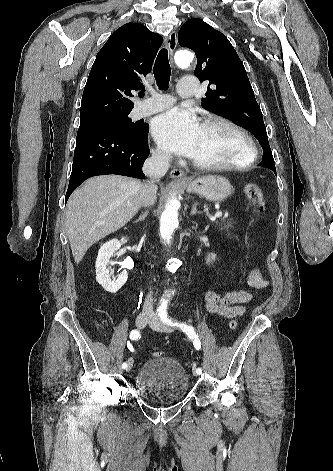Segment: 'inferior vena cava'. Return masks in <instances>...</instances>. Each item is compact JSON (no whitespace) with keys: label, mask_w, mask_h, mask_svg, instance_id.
I'll list each match as a JSON object with an SVG mask.
<instances>
[{"label":"inferior vena cava","mask_w":333,"mask_h":471,"mask_svg":"<svg viewBox=\"0 0 333 471\" xmlns=\"http://www.w3.org/2000/svg\"><path fill=\"white\" fill-rule=\"evenodd\" d=\"M171 155L163 151H154L143 166L144 174L149 178L142 185L141 204L151 206L156 201L157 186L155 182L163 177L169 169ZM144 313H153L152 295L149 293L143 306Z\"/></svg>","instance_id":"obj_1"}]
</instances>
